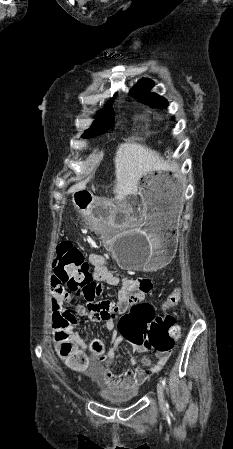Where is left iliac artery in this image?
I'll return each instance as SVG.
<instances>
[{"instance_id": "obj_1", "label": "left iliac artery", "mask_w": 233, "mask_h": 449, "mask_svg": "<svg viewBox=\"0 0 233 449\" xmlns=\"http://www.w3.org/2000/svg\"><path fill=\"white\" fill-rule=\"evenodd\" d=\"M162 384L165 387V385H166V380L165 379L162 380Z\"/></svg>"}]
</instances>
